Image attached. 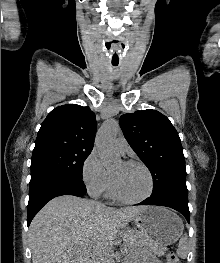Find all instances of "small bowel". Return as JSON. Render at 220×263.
<instances>
[{
	"label": "small bowel",
	"mask_w": 220,
	"mask_h": 263,
	"mask_svg": "<svg viewBox=\"0 0 220 263\" xmlns=\"http://www.w3.org/2000/svg\"><path fill=\"white\" fill-rule=\"evenodd\" d=\"M146 263H161L160 261H158L157 259L155 258H149Z\"/></svg>",
	"instance_id": "small-bowel-1"
}]
</instances>
